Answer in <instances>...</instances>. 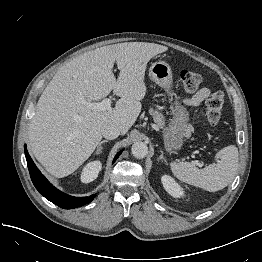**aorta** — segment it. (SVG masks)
Instances as JSON below:
<instances>
[{
    "instance_id": "obj_1",
    "label": "aorta",
    "mask_w": 262,
    "mask_h": 262,
    "mask_svg": "<svg viewBox=\"0 0 262 262\" xmlns=\"http://www.w3.org/2000/svg\"><path fill=\"white\" fill-rule=\"evenodd\" d=\"M133 156L137 159H142L148 154V146L144 142H135L131 147Z\"/></svg>"
}]
</instances>
